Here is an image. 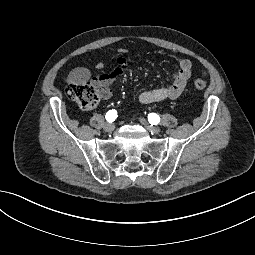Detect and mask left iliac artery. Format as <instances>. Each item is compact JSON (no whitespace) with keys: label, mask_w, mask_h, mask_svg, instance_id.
Returning <instances> with one entry per match:
<instances>
[{"label":"left iliac artery","mask_w":255,"mask_h":255,"mask_svg":"<svg viewBox=\"0 0 255 255\" xmlns=\"http://www.w3.org/2000/svg\"><path fill=\"white\" fill-rule=\"evenodd\" d=\"M148 121L151 125H156L160 122V117L155 113L148 114Z\"/></svg>","instance_id":"44dca946"}]
</instances>
